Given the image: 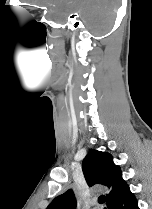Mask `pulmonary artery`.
Segmentation results:
<instances>
[{
    "label": "pulmonary artery",
    "mask_w": 152,
    "mask_h": 209,
    "mask_svg": "<svg viewBox=\"0 0 152 209\" xmlns=\"http://www.w3.org/2000/svg\"><path fill=\"white\" fill-rule=\"evenodd\" d=\"M93 209H98V207H94Z\"/></svg>",
    "instance_id": "pulmonary-artery-1"
}]
</instances>
